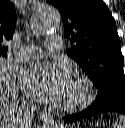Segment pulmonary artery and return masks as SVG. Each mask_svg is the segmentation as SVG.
Wrapping results in <instances>:
<instances>
[{
	"mask_svg": "<svg viewBox=\"0 0 125 128\" xmlns=\"http://www.w3.org/2000/svg\"><path fill=\"white\" fill-rule=\"evenodd\" d=\"M62 39L59 35H51L46 39V49L49 52L56 53L61 49ZM42 56V49L38 46H25L16 51L15 59L18 62H31L40 59Z\"/></svg>",
	"mask_w": 125,
	"mask_h": 128,
	"instance_id": "obj_1",
	"label": "pulmonary artery"
}]
</instances>
